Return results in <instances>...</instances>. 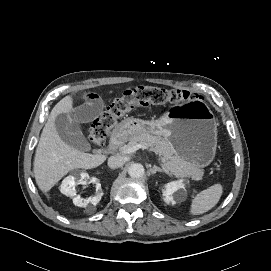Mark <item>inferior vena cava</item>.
Here are the masks:
<instances>
[{
	"label": "inferior vena cava",
	"instance_id": "602c4592",
	"mask_svg": "<svg viewBox=\"0 0 271 271\" xmlns=\"http://www.w3.org/2000/svg\"><path fill=\"white\" fill-rule=\"evenodd\" d=\"M126 159L122 156H111L108 159V166L112 169L119 168L124 165Z\"/></svg>",
	"mask_w": 271,
	"mask_h": 271
}]
</instances>
